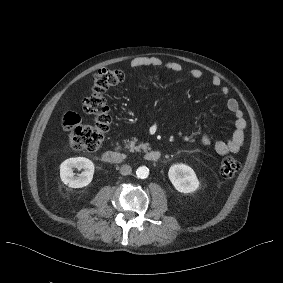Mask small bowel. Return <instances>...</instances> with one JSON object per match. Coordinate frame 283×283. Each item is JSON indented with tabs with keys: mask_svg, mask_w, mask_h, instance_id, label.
Instances as JSON below:
<instances>
[{
	"mask_svg": "<svg viewBox=\"0 0 283 283\" xmlns=\"http://www.w3.org/2000/svg\"><path fill=\"white\" fill-rule=\"evenodd\" d=\"M141 67H159L165 68L173 73H181L183 66L174 61H163L161 58L156 56L137 57L131 60L130 68L137 69ZM190 75L194 79H200L203 73L200 69L194 68L190 71ZM210 83L213 86H220L221 80L218 76H210ZM221 96L226 100V106L228 111L234 116V130L231 137L228 140H218L215 145V151L220 155H226L229 153H238L241 149L244 141L246 121L243 117L242 111L239 107L238 102L230 97V91L227 87L223 86L220 89ZM201 144L209 145L210 138L204 134L201 136Z\"/></svg>",
	"mask_w": 283,
	"mask_h": 283,
	"instance_id": "1",
	"label": "small bowel"
}]
</instances>
